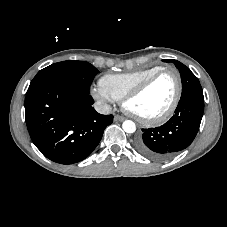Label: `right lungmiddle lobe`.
Segmentation results:
<instances>
[{"instance_id": "1", "label": "right lung middle lobe", "mask_w": 227, "mask_h": 227, "mask_svg": "<svg viewBox=\"0 0 227 227\" xmlns=\"http://www.w3.org/2000/svg\"><path fill=\"white\" fill-rule=\"evenodd\" d=\"M98 72L92 64L85 61L58 62L40 70L31 81L29 89L44 83L60 82L88 92Z\"/></svg>"}]
</instances>
